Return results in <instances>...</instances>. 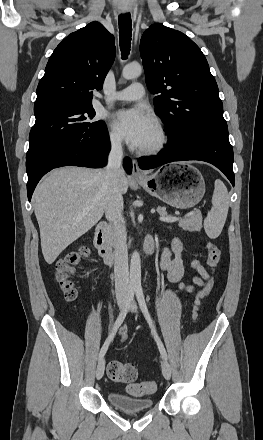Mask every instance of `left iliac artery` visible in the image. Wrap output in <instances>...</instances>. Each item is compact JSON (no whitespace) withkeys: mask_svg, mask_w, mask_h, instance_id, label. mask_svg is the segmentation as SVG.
<instances>
[{"mask_svg":"<svg viewBox=\"0 0 263 440\" xmlns=\"http://www.w3.org/2000/svg\"><path fill=\"white\" fill-rule=\"evenodd\" d=\"M136 296H137V300H138V303L140 305L141 311L144 314V317L147 320V322L149 324V327L151 329V333L154 336V339H155V341H156V343L158 345L159 351H160L162 357L164 359H167L166 350H165V348L163 346V343H162L161 339L159 338V336L157 334L156 327H155V325H154V323L152 321V318L150 316V313L148 311V308H147V305H146V302H145V298H144V294H143V290H142L141 287H137L136 288Z\"/></svg>","mask_w":263,"mask_h":440,"instance_id":"left-iliac-artery-1","label":"left iliac artery"}]
</instances>
